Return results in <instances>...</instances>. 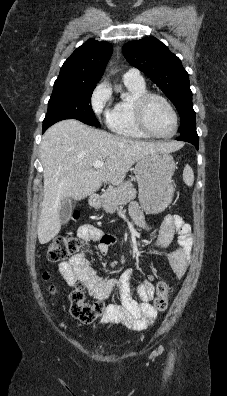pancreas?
<instances>
[{
    "label": "pancreas",
    "mask_w": 227,
    "mask_h": 396,
    "mask_svg": "<svg viewBox=\"0 0 227 396\" xmlns=\"http://www.w3.org/2000/svg\"><path fill=\"white\" fill-rule=\"evenodd\" d=\"M135 197L136 190L133 184L128 180L118 187H109L103 192L102 207L106 212H113L118 208H121L122 205L133 200Z\"/></svg>",
    "instance_id": "1"
}]
</instances>
